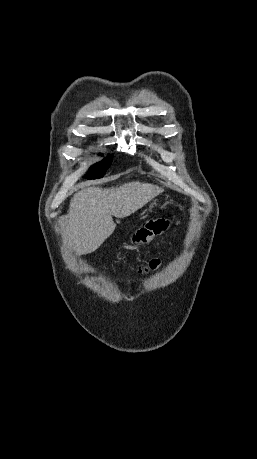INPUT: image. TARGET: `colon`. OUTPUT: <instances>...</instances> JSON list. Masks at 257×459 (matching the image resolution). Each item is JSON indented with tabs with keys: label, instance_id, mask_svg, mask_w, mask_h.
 I'll use <instances>...</instances> for the list:
<instances>
[{
	"label": "colon",
	"instance_id": "obj_1",
	"mask_svg": "<svg viewBox=\"0 0 257 459\" xmlns=\"http://www.w3.org/2000/svg\"><path fill=\"white\" fill-rule=\"evenodd\" d=\"M138 230H140V229H138ZM136 233H137V231L134 233V236H136ZM159 265H160V260L155 259V260H152V261H150L149 263H147L145 265L140 266L138 271L140 273H147L149 271H153V270L157 269Z\"/></svg>",
	"mask_w": 257,
	"mask_h": 459
}]
</instances>
